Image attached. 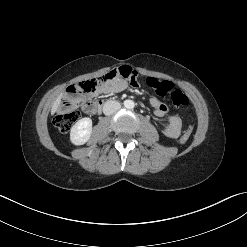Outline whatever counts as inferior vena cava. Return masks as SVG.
I'll list each match as a JSON object with an SVG mask.
<instances>
[{
    "mask_svg": "<svg viewBox=\"0 0 247 247\" xmlns=\"http://www.w3.org/2000/svg\"><path fill=\"white\" fill-rule=\"evenodd\" d=\"M121 108V104L117 101H108L103 106V113L105 115H111Z\"/></svg>",
    "mask_w": 247,
    "mask_h": 247,
    "instance_id": "inferior-vena-cava-1",
    "label": "inferior vena cava"
}]
</instances>
